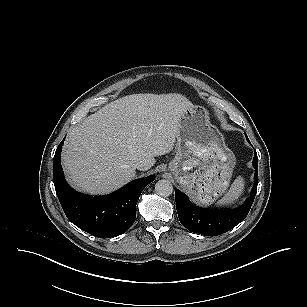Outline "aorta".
I'll list each match as a JSON object with an SVG mask.
<instances>
[{"label": "aorta", "mask_w": 307, "mask_h": 307, "mask_svg": "<svg viewBox=\"0 0 307 307\" xmlns=\"http://www.w3.org/2000/svg\"><path fill=\"white\" fill-rule=\"evenodd\" d=\"M155 191L159 196L168 197L173 192V185L169 180L161 179L156 182Z\"/></svg>", "instance_id": "1"}]
</instances>
